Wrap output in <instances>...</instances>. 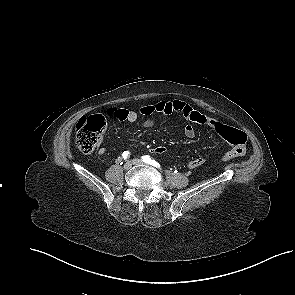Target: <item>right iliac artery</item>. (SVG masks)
Here are the masks:
<instances>
[{"label":"right iliac artery","instance_id":"right-iliac-artery-1","mask_svg":"<svg viewBox=\"0 0 295 295\" xmlns=\"http://www.w3.org/2000/svg\"><path fill=\"white\" fill-rule=\"evenodd\" d=\"M129 154V151H124L122 154L123 159L126 160L129 157ZM116 162L122 164V159L118 158Z\"/></svg>","mask_w":295,"mask_h":295}]
</instances>
